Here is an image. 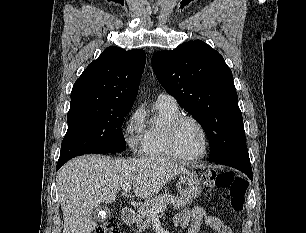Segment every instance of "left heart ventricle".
Segmentation results:
<instances>
[{
    "label": "left heart ventricle",
    "instance_id": "b2bd125f",
    "mask_svg": "<svg viewBox=\"0 0 306 233\" xmlns=\"http://www.w3.org/2000/svg\"><path fill=\"white\" fill-rule=\"evenodd\" d=\"M178 148L184 155L196 156L204 149V138L200 129L192 122L184 123L177 136Z\"/></svg>",
    "mask_w": 306,
    "mask_h": 233
}]
</instances>
